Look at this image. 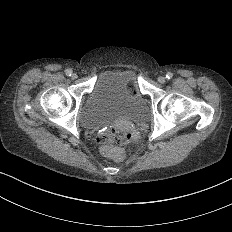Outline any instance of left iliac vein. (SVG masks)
Returning a JSON list of instances; mask_svg holds the SVG:
<instances>
[{
  "instance_id": "obj_1",
  "label": "left iliac vein",
  "mask_w": 232,
  "mask_h": 232,
  "mask_svg": "<svg viewBox=\"0 0 232 232\" xmlns=\"http://www.w3.org/2000/svg\"><path fill=\"white\" fill-rule=\"evenodd\" d=\"M158 82L161 84H164L166 82V77L165 76H159L158 77Z\"/></svg>"
}]
</instances>
